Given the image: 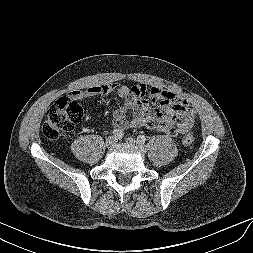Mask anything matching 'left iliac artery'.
I'll list each match as a JSON object with an SVG mask.
<instances>
[{
  "label": "left iliac artery",
  "instance_id": "left-iliac-artery-1",
  "mask_svg": "<svg viewBox=\"0 0 253 253\" xmlns=\"http://www.w3.org/2000/svg\"><path fill=\"white\" fill-rule=\"evenodd\" d=\"M137 141L140 143V144H144L146 142V137L144 135H139L137 137Z\"/></svg>",
  "mask_w": 253,
  "mask_h": 253
}]
</instances>
